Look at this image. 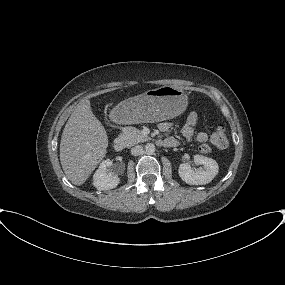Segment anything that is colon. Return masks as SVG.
Segmentation results:
<instances>
[{
	"label": "colon",
	"mask_w": 285,
	"mask_h": 285,
	"mask_svg": "<svg viewBox=\"0 0 285 285\" xmlns=\"http://www.w3.org/2000/svg\"><path fill=\"white\" fill-rule=\"evenodd\" d=\"M211 143L219 150H226L229 145L227 138L226 128L224 125H218L211 133ZM200 151L203 153H209L211 148L207 144L200 146Z\"/></svg>",
	"instance_id": "colon-1"
}]
</instances>
